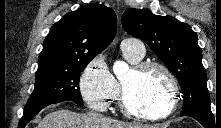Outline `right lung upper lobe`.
<instances>
[{
    "label": "right lung upper lobe",
    "instance_id": "cb5924a9",
    "mask_svg": "<svg viewBox=\"0 0 221 128\" xmlns=\"http://www.w3.org/2000/svg\"><path fill=\"white\" fill-rule=\"evenodd\" d=\"M116 30V15L104 5L93 3L67 13L46 36L38 70L94 58L112 42Z\"/></svg>",
    "mask_w": 221,
    "mask_h": 128
}]
</instances>
